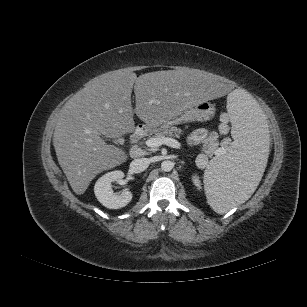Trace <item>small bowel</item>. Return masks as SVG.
<instances>
[{"instance_id": "obj_1", "label": "small bowel", "mask_w": 307, "mask_h": 307, "mask_svg": "<svg viewBox=\"0 0 307 307\" xmlns=\"http://www.w3.org/2000/svg\"><path fill=\"white\" fill-rule=\"evenodd\" d=\"M207 136V130L206 129H197L193 131L189 136V141L192 144H197L202 142Z\"/></svg>"}]
</instances>
